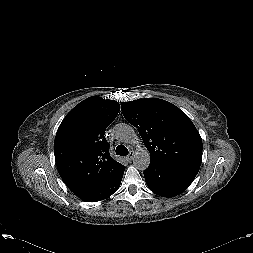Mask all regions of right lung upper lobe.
Here are the masks:
<instances>
[{"label": "right lung upper lobe", "instance_id": "cb5924a9", "mask_svg": "<svg viewBox=\"0 0 253 253\" xmlns=\"http://www.w3.org/2000/svg\"><path fill=\"white\" fill-rule=\"evenodd\" d=\"M119 111L117 101L92 96L76 105L57 130L54 155L58 172L83 200L124 173L125 166L111 158L104 136Z\"/></svg>", "mask_w": 253, "mask_h": 253}]
</instances>
